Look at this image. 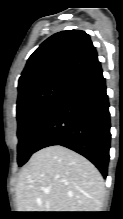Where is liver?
Here are the masks:
<instances>
[{"instance_id": "liver-1", "label": "liver", "mask_w": 123, "mask_h": 219, "mask_svg": "<svg viewBox=\"0 0 123 219\" xmlns=\"http://www.w3.org/2000/svg\"><path fill=\"white\" fill-rule=\"evenodd\" d=\"M104 197V180L98 169L60 145L34 153L16 185L18 212H100Z\"/></svg>"}]
</instances>
